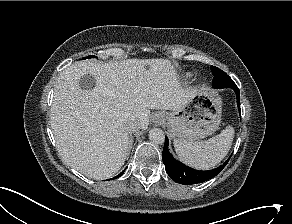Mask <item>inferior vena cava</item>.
I'll return each instance as SVG.
<instances>
[{"mask_svg": "<svg viewBox=\"0 0 292 224\" xmlns=\"http://www.w3.org/2000/svg\"><path fill=\"white\" fill-rule=\"evenodd\" d=\"M124 126L129 133L137 131L140 128L139 123L135 121L134 119L125 120Z\"/></svg>", "mask_w": 292, "mask_h": 224, "instance_id": "inferior-vena-cava-1", "label": "inferior vena cava"}]
</instances>
